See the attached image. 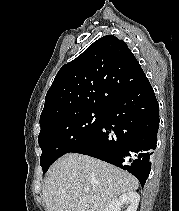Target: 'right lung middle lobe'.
Wrapping results in <instances>:
<instances>
[{
	"mask_svg": "<svg viewBox=\"0 0 179 211\" xmlns=\"http://www.w3.org/2000/svg\"><path fill=\"white\" fill-rule=\"evenodd\" d=\"M106 108H93L66 115L41 128L38 142L42 149L43 173L62 155L87 142L99 129Z\"/></svg>",
	"mask_w": 179,
	"mask_h": 211,
	"instance_id": "obj_1",
	"label": "right lung middle lobe"
}]
</instances>
